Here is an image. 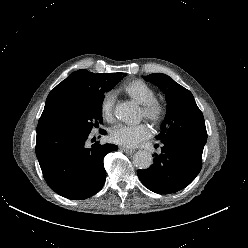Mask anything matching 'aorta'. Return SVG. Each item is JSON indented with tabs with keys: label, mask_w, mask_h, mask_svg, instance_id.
<instances>
[{
	"label": "aorta",
	"mask_w": 248,
	"mask_h": 248,
	"mask_svg": "<svg viewBox=\"0 0 248 248\" xmlns=\"http://www.w3.org/2000/svg\"><path fill=\"white\" fill-rule=\"evenodd\" d=\"M114 114L118 120L124 123H133L137 117V106L131 102L119 103L115 108ZM133 162L138 169H148L152 165L153 157L151 153L139 150L135 153Z\"/></svg>",
	"instance_id": "1"
}]
</instances>
